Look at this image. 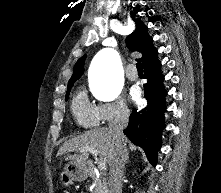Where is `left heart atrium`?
<instances>
[{"label": "left heart atrium", "instance_id": "1", "mask_svg": "<svg viewBox=\"0 0 221 193\" xmlns=\"http://www.w3.org/2000/svg\"><path fill=\"white\" fill-rule=\"evenodd\" d=\"M131 96H132L133 99H137L138 98L137 90L133 89L132 92H131Z\"/></svg>", "mask_w": 221, "mask_h": 193}]
</instances>
